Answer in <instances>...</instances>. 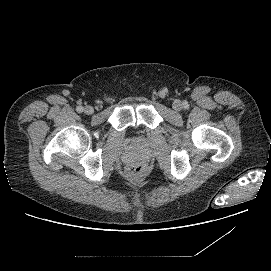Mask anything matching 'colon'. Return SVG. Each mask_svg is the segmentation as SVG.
I'll return each instance as SVG.
<instances>
[{"mask_svg": "<svg viewBox=\"0 0 271 271\" xmlns=\"http://www.w3.org/2000/svg\"><path fill=\"white\" fill-rule=\"evenodd\" d=\"M144 174V168L142 165L133 163L127 168V175L132 180H138Z\"/></svg>", "mask_w": 271, "mask_h": 271, "instance_id": "5ec220e1", "label": "colon"}]
</instances>
